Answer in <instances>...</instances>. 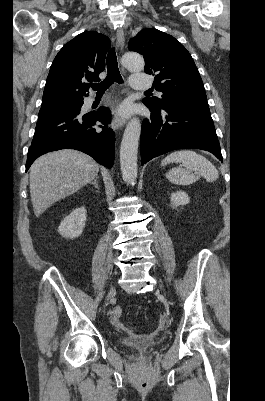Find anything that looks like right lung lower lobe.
<instances>
[{
  "mask_svg": "<svg viewBox=\"0 0 265 401\" xmlns=\"http://www.w3.org/2000/svg\"><path fill=\"white\" fill-rule=\"evenodd\" d=\"M96 122L105 126H97ZM110 122L111 113L106 107L85 115L54 113L39 117L28 150L26 171L39 156L65 148L82 151L98 163L111 168L115 134L107 127ZM97 127L102 128V131Z\"/></svg>",
  "mask_w": 265,
  "mask_h": 401,
  "instance_id": "1",
  "label": "right lung lower lobe"
}]
</instances>
